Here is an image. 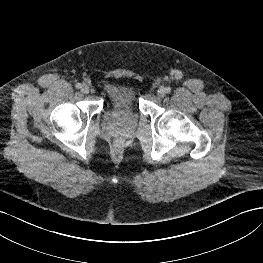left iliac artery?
Returning a JSON list of instances; mask_svg holds the SVG:
<instances>
[{"mask_svg": "<svg viewBox=\"0 0 263 263\" xmlns=\"http://www.w3.org/2000/svg\"><path fill=\"white\" fill-rule=\"evenodd\" d=\"M166 92L170 93L171 92V88L170 87H166Z\"/></svg>", "mask_w": 263, "mask_h": 263, "instance_id": "obj_1", "label": "left iliac artery"}]
</instances>
